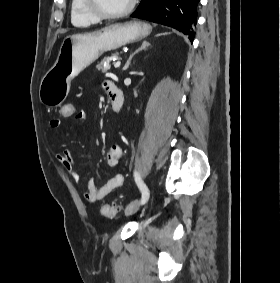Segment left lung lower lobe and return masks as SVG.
<instances>
[{
	"mask_svg": "<svg viewBox=\"0 0 280 283\" xmlns=\"http://www.w3.org/2000/svg\"><path fill=\"white\" fill-rule=\"evenodd\" d=\"M200 0H141L131 15L151 22L173 27L194 39L191 24L196 25L197 5Z\"/></svg>",
	"mask_w": 280,
	"mask_h": 283,
	"instance_id": "obj_1",
	"label": "left lung lower lobe"
}]
</instances>
